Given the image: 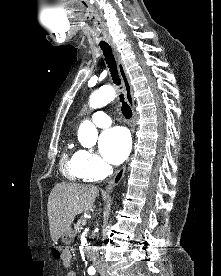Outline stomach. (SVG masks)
I'll list each match as a JSON object with an SVG mask.
<instances>
[{
    "instance_id": "1",
    "label": "stomach",
    "mask_w": 221,
    "mask_h": 276,
    "mask_svg": "<svg viewBox=\"0 0 221 276\" xmlns=\"http://www.w3.org/2000/svg\"><path fill=\"white\" fill-rule=\"evenodd\" d=\"M74 236V231L70 228L61 236V240L64 244L70 245L74 240Z\"/></svg>"
}]
</instances>
